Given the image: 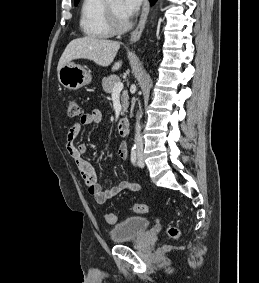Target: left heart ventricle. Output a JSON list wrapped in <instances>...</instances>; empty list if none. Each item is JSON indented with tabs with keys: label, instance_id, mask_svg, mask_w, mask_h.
<instances>
[{
	"label": "left heart ventricle",
	"instance_id": "1",
	"mask_svg": "<svg viewBox=\"0 0 259 283\" xmlns=\"http://www.w3.org/2000/svg\"><path fill=\"white\" fill-rule=\"evenodd\" d=\"M110 5L121 18H125L121 13V0H110Z\"/></svg>",
	"mask_w": 259,
	"mask_h": 283
}]
</instances>
